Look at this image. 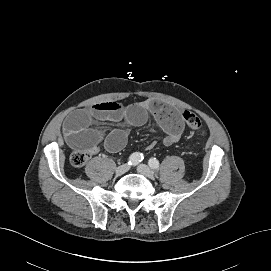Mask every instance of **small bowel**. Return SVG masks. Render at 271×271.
Masks as SVG:
<instances>
[{
  "mask_svg": "<svg viewBox=\"0 0 271 271\" xmlns=\"http://www.w3.org/2000/svg\"><path fill=\"white\" fill-rule=\"evenodd\" d=\"M149 113L167 134L164 144L170 146L177 142L184 128L183 118L177 110L158 101L128 108H122L116 102L98 103L89 109L73 112L64 122V132L67 142L73 148L95 153L103 144L109 152H117L125 146L128 132L123 129L104 132L92 128V124L100 120L124 121L129 125L140 126L146 122Z\"/></svg>",
  "mask_w": 271,
  "mask_h": 271,
  "instance_id": "small-bowel-1",
  "label": "small bowel"
}]
</instances>
